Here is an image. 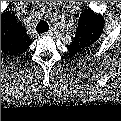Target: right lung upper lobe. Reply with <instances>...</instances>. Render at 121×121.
Masks as SVG:
<instances>
[{
	"mask_svg": "<svg viewBox=\"0 0 121 121\" xmlns=\"http://www.w3.org/2000/svg\"><path fill=\"white\" fill-rule=\"evenodd\" d=\"M32 39L23 25L10 11L1 14V51L6 55H21L30 46Z\"/></svg>",
	"mask_w": 121,
	"mask_h": 121,
	"instance_id": "obj_1",
	"label": "right lung upper lobe"
}]
</instances>
